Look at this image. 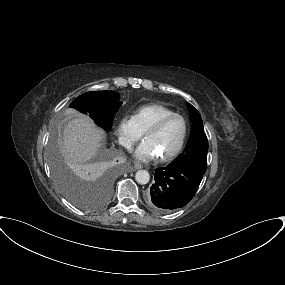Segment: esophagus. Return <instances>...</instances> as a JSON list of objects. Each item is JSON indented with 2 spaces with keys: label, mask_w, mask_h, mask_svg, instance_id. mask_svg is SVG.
<instances>
[{
  "label": "esophagus",
  "mask_w": 285,
  "mask_h": 285,
  "mask_svg": "<svg viewBox=\"0 0 285 285\" xmlns=\"http://www.w3.org/2000/svg\"><path fill=\"white\" fill-rule=\"evenodd\" d=\"M143 166L141 164H135L133 167L128 169L129 172L136 171L137 169H141Z\"/></svg>",
  "instance_id": "obj_1"
}]
</instances>
